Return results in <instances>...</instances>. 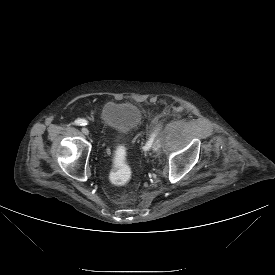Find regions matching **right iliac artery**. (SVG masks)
I'll return each mask as SVG.
<instances>
[{"instance_id":"1","label":"right iliac artery","mask_w":275,"mask_h":275,"mask_svg":"<svg viewBox=\"0 0 275 275\" xmlns=\"http://www.w3.org/2000/svg\"><path fill=\"white\" fill-rule=\"evenodd\" d=\"M76 125H80V126H82V125H87V121L85 120V119H77V120H75V122H74Z\"/></svg>"}]
</instances>
